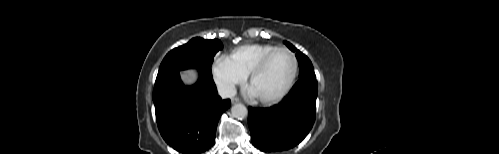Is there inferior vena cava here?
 <instances>
[{"mask_svg":"<svg viewBox=\"0 0 499 154\" xmlns=\"http://www.w3.org/2000/svg\"><path fill=\"white\" fill-rule=\"evenodd\" d=\"M218 93L221 98H231L235 96L236 89L233 85H221L218 87Z\"/></svg>","mask_w":499,"mask_h":154,"instance_id":"obj_1","label":"inferior vena cava"}]
</instances>
